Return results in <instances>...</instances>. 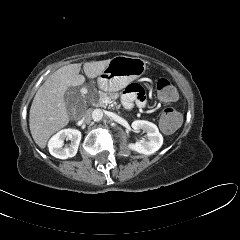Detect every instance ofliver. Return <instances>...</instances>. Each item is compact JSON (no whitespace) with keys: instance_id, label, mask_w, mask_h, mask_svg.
Here are the masks:
<instances>
[{"instance_id":"6515ba94","label":"liver","mask_w":240,"mask_h":240,"mask_svg":"<svg viewBox=\"0 0 240 240\" xmlns=\"http://www.w3.org/2000/svg\"><path fill=\"white\" fill-rule=\"evenodd\" d=\"M111 59L87 62L83 65L89 79L96 78L108 66ZM81 64H70L55 71L38 89L33 99L29 127L35 143L45 148L49 138L70 121L65 102V92L85 82L80 75Z\"/></svg>"}]
</instances>
